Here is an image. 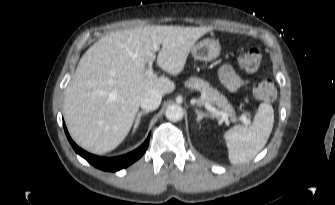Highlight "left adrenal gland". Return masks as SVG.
<instances>
[{
  "label": "left adrenal gland",
  "instance_id": "left-adrenal-gland-1",
  "mask_svg": "<svg viewBox=\"0 0 335 205\" xmlns=\"http://www.w3.org/2000/svg\"><path fill=\"white\" fill-rule=\"evenodd\" d=\"M195 113L197 114V121L200 122L204 117H212L211 114L205 113L198 109H195Z\"/></svg>",
  "mask_w": 335,
  "mask_h": 205
}]
</instances>
